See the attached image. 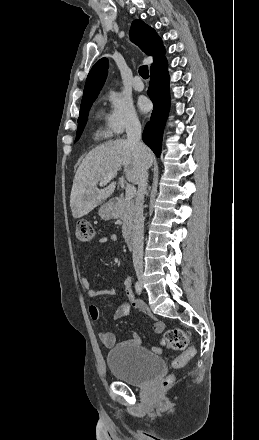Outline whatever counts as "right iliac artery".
Wrapping results in <instances>:
<instances>
[{
    "mask_svg": "<svg viewBox=\"0 0 259 440\" xmlns=\"http://www.w3.org/2000/svg\"><path fill=\"white\" fill-rule=\"evenodd\" d=\"M135 290L138 295L141 294L142 288H141V285L139 284V282L135 283Z\"/></svg>",
    "mask_w": 259,
    "mask_h": 440,
    "instance_id": "82829eb1",
    "label": "right iliac artery"
}]
</instances>
